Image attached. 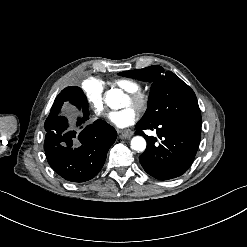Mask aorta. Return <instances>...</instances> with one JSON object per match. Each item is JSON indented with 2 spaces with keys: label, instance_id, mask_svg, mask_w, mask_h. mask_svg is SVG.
Segmentation results:
<instances>
[{
  "label": "aorta",
  "instance_id": "762f6f07",
  "mask_svg": "<svg viewBox=\"0 0 247 247\" xmlns=\"http://www.w3.org/2000/svg\"><path fill=\"white\" fill-rule=\"evenodd\" d=\"M107 105L112 109H118L122 101V91L119 89H110L105 96ZM131 149L142 152L146 149V141L141 136H135L131 140Z\"/></svg>",
  "mask_w": 247,
  "mask_h": 247
}]
</instances>
